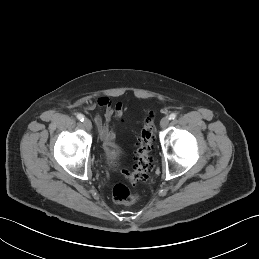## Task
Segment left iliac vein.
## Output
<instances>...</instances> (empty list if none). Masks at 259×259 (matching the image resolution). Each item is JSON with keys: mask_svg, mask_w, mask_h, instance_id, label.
Instances as JSON below:
<instances>
[{"mask_svg": "<svg viewBox=\"0 0 259 259\" xmlns=\"http://www.w3.org/2000/svg\"><path fill=\"white\" fill-rule=\"evenodd\" d=\"M169 124V118L168 117H163L160 121V126L161 128H166Z\"/></svg>", "mask_w": 259, "mask_h": 259, "instance_id": "4c4485c4", "label": "left iliac vein"}]
</instances>
